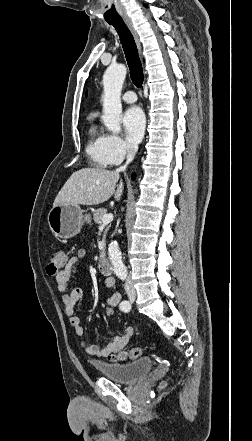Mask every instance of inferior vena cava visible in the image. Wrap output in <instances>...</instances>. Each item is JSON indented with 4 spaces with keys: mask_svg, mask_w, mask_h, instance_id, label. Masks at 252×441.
<instances>
[{
    "mask_svg": "<svg viewBox=\"0 0 252 441\" xmlns=\"http://www.w3.org/2000/svg\"><path fill=\"white\" fill-rule=\"evenodd\" d=\"M134 156H135V150L133 148H128L127 161H126L125 165L117 168L116 172L119 173L121 171H125L127 168V165L134 159ZM124 287L127 292H135L133 284L129 278L127 279Z\"/></svg>",
    "mask_w": 252,
    "mask_h": 441,
    "instance_id": "obj_1",
    "label": "inferior vena cava"
}]
</instances>
